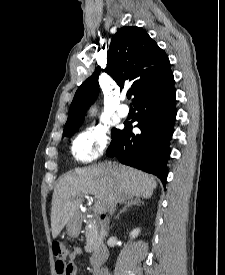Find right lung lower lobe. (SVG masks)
Segmentation results:
<instances>
[{
  "mask_svg": "<svg viewBox=\"0 0 225 275\" xmlns=\"http://www.w3.org/2000/svg\"><path fill=\"white\" fill-rule=\"evenodd\" d=\"M138 111L133 121L141 134L132 133V124L112 139L107 155L121 163L152 173L166 184L169 141L176 118L174 78L162 88L148 92L133 102Z\"/></svg>",
  "mask_w": 225,
  "mask_h": 275,
  "instance_id": "obj_1",
  "label": "right lung lower lobe"
}]
</instances>
